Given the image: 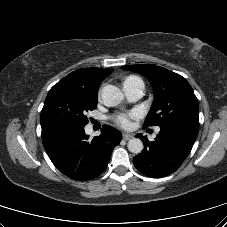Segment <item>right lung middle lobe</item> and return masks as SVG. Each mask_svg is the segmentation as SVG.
I'll use <instances>...</instances> for the list:
<instances>
[{
	"label": "right lung middle lobe",
	"instance_id": "1",
	"mask_svg": "<svg viewBox=\"0 0 227 227\" xmlns=\"http://www.w3.org/2000/svg\"><path fill=\"white\" fill-rule=\"evenodd\" d=\"M97 106V90L62 82L49 91L41 111V127L67 124L84 127L88 123L86 113Z\"/></svg>",
	"mask_w": 227,
	"mask_h": 227
}]
</instances>
